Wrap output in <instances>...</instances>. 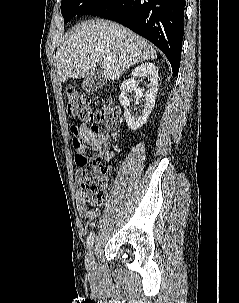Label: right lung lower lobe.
<instances>
[{
  "instance_id": "1",
  "label": "right lung lower lobe",
  "mask_w": 239,
  "mask_h": 303,
  "mask_svg": "<svg viewBox=\"0 0 239 303\" xmlns=\"http://www.w3.org/2000/svg\"><path fill=\"white\" fill-rule=\"evenodd\" d=\"M185 0H106L89 14L128 27L155 44L177 76L184 35Z\"/></svg>"
}]
</instances>
